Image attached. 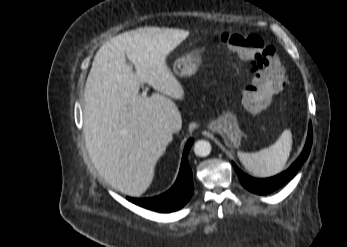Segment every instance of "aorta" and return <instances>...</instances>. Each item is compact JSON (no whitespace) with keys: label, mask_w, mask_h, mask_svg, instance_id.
I'll use <instances>...</instances> for the list:
<instances>
[{"label":"aorta","mask_w":347,"mask_h":247,"mask_svg":"<svg viewBox=\"0 0 347 247\" xmlns=\"http://www.w3.org/2000/svg\"><path fill=\"white\" fill-rule=\"evenodd\" d=\"M211 152V144L206 140H199L194 145V153L200 157H206Z\"/></svg>","instance_id":"obj_1"}]
</instances>
